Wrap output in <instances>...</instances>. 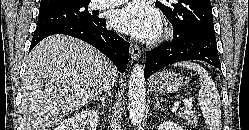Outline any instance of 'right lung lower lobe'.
I'll use <instances>...</instances> for the list:
<instances>
[{
    "instance_id": "1",
    "label": "right lung lower lobe",
    "mask_w": 249,
    "mask_h": 130,
    "mask_svg": "<svg viewBox=\"0 0 249 130\" xmlns=\"http://www.w3.org/2000/svg\"><path fill=\"white\" fill-rule=\"evenodd\" d=\"M106 20L96 18V21L87 23H62L47 27L36 28L29 51L45 37L54 34H66L81 39L106 55L124 73L127 68L129 43L117 33L109 31L105 27Z\"/></svg>"
}]
</instances>
